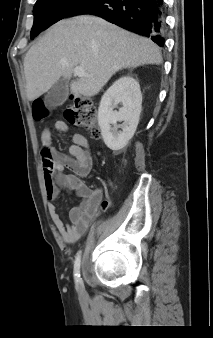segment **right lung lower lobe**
I'll use <instances>...</instances> for the list:
<instances>
[{"mask_svg": "<svg viewBox=\"0 0 213 338\" xmlns=\"http://www.w3.org/2000/svg\"><path fill=\"white\" fill-rule=\"evenodd\" d=\"M93 14L164 45L163 0H93L78 8L71 16Z\"/></svg>", "mask_w": 213, "mask_h": 338, "instance_id": "right-lung-lower-lobe-1", "label": "right lung lower lobe"}]
</instances>
